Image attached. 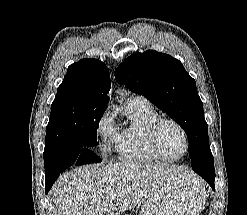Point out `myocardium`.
I'll list each match as a JSON object with an SVG mask.
<instances>
[{
  "label": "myocardium",
  "mask_w": 247,
  "mask_h": 215,
  "mask_svg": "<svg viewBox=\"0 0 247 215\" xmlns=\"http://www.w3.org/2000/svg\"><path fill=\"white\" fill-rule=\"evenodd\" d=\"M171 124L174 125L182 134L184 139V151L183 153L178 157H170L167 156L161 149L160 146V133L164 125ZM147 136L148 141L150 144V147L154 154L164 161H178L182 159L189 150V137L186 129L183 127L181 123L178 121L172 119V118H158L156 121H154L147 129Z\"/></svg>",
  "instance_id": "myocardium-1"
}]
</instances>
